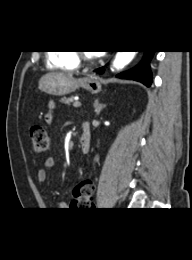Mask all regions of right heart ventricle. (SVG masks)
Instances as JSON below:
<instances>
[{
  "mask_svg": "<svg viewBox=\"0 0 192 260\" xmlns=\"http://www.w3.org/2000/svg\"><path fill=\"white\" fill-rule=\"evenodd\" d=\"M47 61L51 67L63 70H75L79 67V60L74 51L51 52Z\"/></svg>",
  "mask_w": 192,
  "mask_h": 260,
  "instance_id": "e07e8e85",
  "label": "right heart ventricle"
}]
</instances>
